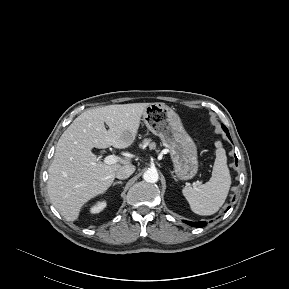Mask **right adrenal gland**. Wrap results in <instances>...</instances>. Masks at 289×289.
I'll return each instance as SVG.
<instances>
[{"label": "right adrenal gland", "mask_w": 289, "mask_h": 289, "mask_svg": "<svg viewBox=\"0 0 289 289\" xmlns=\"http://www.w3.org/2000/svg\"><path fill=\"white\" fill-rule=\"evenodd\" d=\"M117 184H123V182L122 181H116V182L113 183V186H115Z\"/></svg>", "instance_id": "1"}]
</instances>
